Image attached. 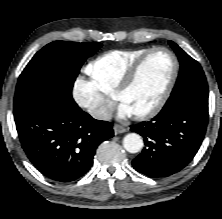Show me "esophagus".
Wrapping results in <instances>:
<instances>
[{"label":"esophagus","mask_w":222,"mask_h":219,"mask_svg":"<svg viewBox=\"0 0 222 219\" xmlns=\"http://www.w3.org/2000/svg\"><path fill=\"white\" fill-rule=\"evenodd\" d=\"M113 130L116 135L127 131V129L125 127L118 125V124L114 125Z\"/></svg>","instance_id":"1"}]
</instances>
